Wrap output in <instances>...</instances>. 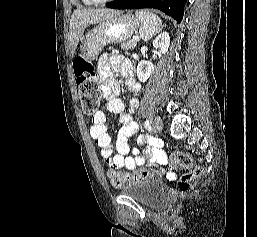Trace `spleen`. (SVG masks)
<instances>
[{
  "instance_id": "3e777b00",
  "label": "spleen",
  "mask_w": 257,
  "mask_h": 237,
  "mask_svg": "<svg viewBox=\"0 0 257 237\" xmlns=\"http://www.w3.org/2000/svg\"><path fill=\"white\" fill-rule=\"evenodd\" d=\"M135 15L141 22L139 33L144 41H148L160 31L162 21L157 15L146 11H137Z\"/></svg>"
}]
</instances>
